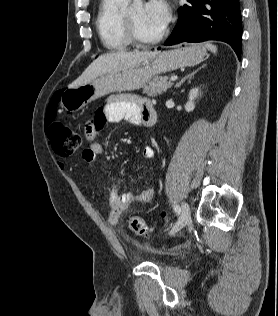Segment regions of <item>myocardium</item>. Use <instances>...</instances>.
<instances>
[{
	"mask_svg": "<svg viewBox=\"0 0 278 316\" xmlns=\"http://www.w3.org/2000/svg\"><path fill=\"white\" fill-rule=\"evenodd\" d=\"M124 25L130 43L137 46H151L157 44L163 40L168 33V30L164 28L157 36L150 39H144L138 34L136 27L128 13L124 14Z\"/></svg>",
	"mask_w": 278,
	"mask_h": 316,
	"instance_id": "1",
	"label": "myocardium"
}]
</instances>
